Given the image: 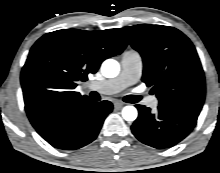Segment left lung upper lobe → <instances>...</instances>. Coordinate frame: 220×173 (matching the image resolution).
Wrapping results in <instances>:
<instances>
[{
	"label": "left lung upper lobe",
	"instance_id": "1",
	"mask_svg": "<svg viewBox=\"0 0 220 173\" xmlns=\"http://www.w3.org/2000/svg\"><path fill=\"white\" fill-rule=\"evenodd\" d=\"M143 58L142 81L152 86L159 106L198 116L205 98L203 69L192 42L179 30L140 24L119 28Z\"/></svg>",
	"mask_w": 220,
	"mask_h": 173
}]
</instances>
